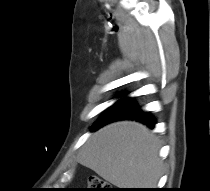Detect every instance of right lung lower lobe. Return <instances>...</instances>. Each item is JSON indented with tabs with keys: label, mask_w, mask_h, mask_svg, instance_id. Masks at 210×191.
I'll return each instance as SVG.
<instances>
[{
	"label": "right lung lower lobe",
	"mask_w": 210,
	"mask_h": 191,
	"mask_svg": "<svg viewBox=\"0 0 210 191\" xmlns=\"http://www.w3.org/2000/svg\"><path fill=\"white\" fill-rule=\"evenodd\" d=\"M126 94L127 93H124L120 96H124ZM125 119L139 121L151 128L154 127L156 122V119L153 115H151L149 112L143 111L140 106H138L135 98L125 97L109 107L93 125L92 130L99 129L110 122Z\"/></svg>",
	"instance_id": "98d812e1"
}]
</instances>
